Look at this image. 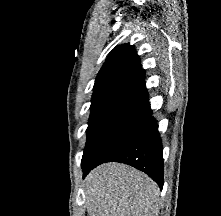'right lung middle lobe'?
I'll return each mask as SVG.
<instances>
[{
	"mask_svg": "<svg viewBox=\"0 0 221 216\" xmlns=\"http://www.w3.org/2000/svg\"><path fill=\"white\" fill-rule=\"evenodd\" d=\"M150 115L121 114L89 122L82 166L101 164L140 137Z\"/></svg>",
	"mask_w": 221,
	"mask_h": 216,
	"instance_id": "1",
	"label": "right lung middle lobe"
}]
</instances>
